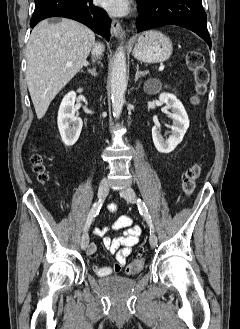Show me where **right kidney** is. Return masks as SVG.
Returning a JSON list of instances; mask_svg holds the SVG:
<instances>
[{
    "label": "right kidney",
    "instance_id": "obj_1",
    "mask_svg": "<svg viewBox=\"0 0 240 329\" xmlns=\"http://www.w3.org/2000/svg\"><path fill=\"white\" fill-rule=\"evenodd\" d=\"M78 92H82V89ZM75 100L76 92H69L63 98L58 111V129L66 146H72L77 142L83 126L82 119L75 116Z\"/></svg>",
    "mask_w": 240,
    "mask_h": 329
}]
</instances>
